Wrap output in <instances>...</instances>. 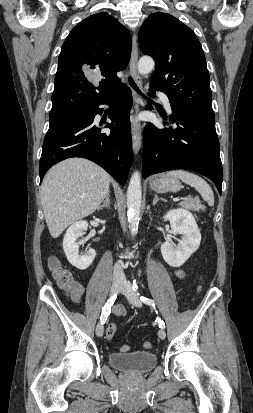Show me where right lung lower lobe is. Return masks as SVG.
<instances>
[{"instance_id":"98d812e1","label":"right lung lower lobe","mask_w":253,"mask_h":413,"mask_svg":"<svg viewBox=\"0 0 253 413\" xmlns=\"http://www.w3.org/2000/svg\"><path fill=\"white\" fill-rule=\"evenodd\" d=\"M101 104H111L112 123L106 127L111 133H101L93 124L95 115L102 114ZM132 107L131 91L121 86L106 98L81 111L75 118L51 125L46 133L39 164L40 182L54 164L70 158L89 159L104 168L124 185L133 163L129 111Z\"/></svg>"}]
</instances>
